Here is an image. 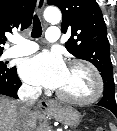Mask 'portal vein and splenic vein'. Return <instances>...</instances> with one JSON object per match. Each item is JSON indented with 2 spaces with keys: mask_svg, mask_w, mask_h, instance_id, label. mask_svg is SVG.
Listing matches in <instances>:
<instances>
[{
  "mask_svg": "<svg viewBox=\"0 0 117 131\" xmlns=\"http://www.w3.org/2000/svg\"><path fill=\"white\" fill-rule=\"evenodd\" d=\"M57 131H62V129H58Z\"/></svg>",
  "mask_w": 117,
  "mask_h": 131,
  "instance_id": "portal-vein-and-splenic-vein-1",
  "label": "portal vein and splenic vein"
}]
</instances>
